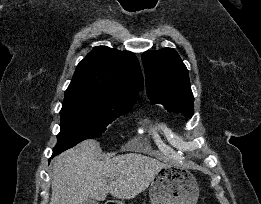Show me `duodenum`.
Instances as JSON below:
<instances>
[{"instance_id": "obj_1", "label": "duodenum", "mask_w": 261, "mask_h": 204, "mask_svg": "<svg viewBox=\"0 0 261 204\" xmlns=\"http://www.w3.org/2000/svg\"><path fill=\"white\" fill-rule=\"evenodd\" d=\"M106 204H115V203H112V202H108V203H106Z\"/></svg>"}]
</instances>
